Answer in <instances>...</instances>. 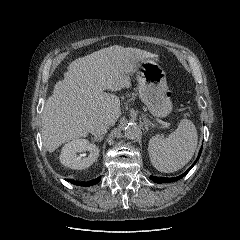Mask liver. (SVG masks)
Wrapping results in <instances>:
<instances>
[{"label": "liver", "mask_w": 240, "mask_h": 240, "mask_svg": "<svg viewBox=\"0 0 240 240\" xmlns=\"http://www.w3.org/2000/svg\"><path fill=\"white\" fill-rule=\"evenodd\" d=\"M155 57L141 49L113 45L71 62L42 113L46 150L53 152L67 141L86 137L103 120L114 125L121 115L120 100L104 91L129 88V75L138 64Z\"/></svg>", "instance_id": "1"}]
</instances>
